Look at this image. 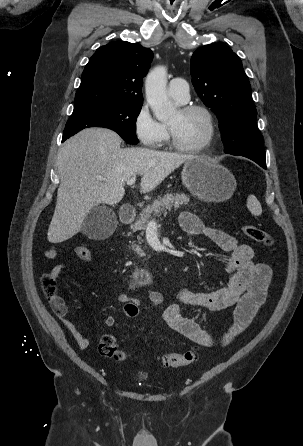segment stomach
<instances>
[{
	"label": "stomach",
	"mask_w": 303,
	"mask_h": 446,
	"mask_svg": "<svg viewBox=\"0 0 303 446\" xmlns=\"http://www.w3.org/2000/svg\"><path fill=\"white\" fill-rule=\"evenodd\" d=\"M181 177L189 192L205 202L226 201L237 186L234 175L227 168L202 157L186 161Z\"/></svg>",
	"instance_id": "0dacf381"
}]
</instances>
